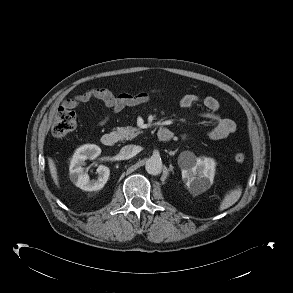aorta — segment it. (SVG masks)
Listing matches in <instances>:
<instances>
[{
	"label": "aorta",
	"mask_w": 293,
	"mask_h": 293,
	"mask_svg": "<svg viewBox=\"0 0 293 293\" xmlns=\"http://www.w3.org/2000/svg\"><path fill=\"white\" fill-rule=\"evenodd\" d=\"M162 161L161 158L152 156L146 160L145 168L146 171L151 175H158L162 172Z\"/></svg>",
	"instance_id": "obj_1"
}]
</instances>
